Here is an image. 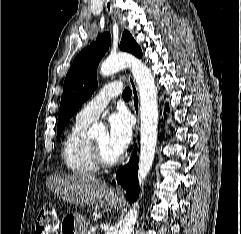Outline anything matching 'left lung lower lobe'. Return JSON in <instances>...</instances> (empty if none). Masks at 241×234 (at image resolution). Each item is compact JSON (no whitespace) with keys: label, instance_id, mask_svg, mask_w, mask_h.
Masks as SVG:
<instances>
[{"label":"left lung lower lobe","instance_id":"1","mask_svg":"<svg viewBox=\"0 0 241 234\" xmlns=\"http://www.w3.org/2000/svg\"><path fill=\"white\" fill-rule=\"evenodd\" d=\"M165 109L168 110L167 105ZM137 172V147L135 146L130 162L122 167L116 176L117 182L126 190V197L130 202H134L139 193Z\"/></svg>","mask_w":241,"mask_h":234}]
</instances>
